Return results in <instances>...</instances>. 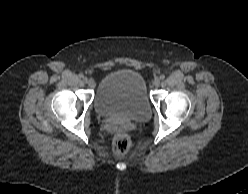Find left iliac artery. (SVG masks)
Segmentation results:
<instances>
[{
  "label": "left iliac artery",
  "instance_id": "1",
  "mask_svg": "<svg viewBox=\"0 0 248 194\" xmlns=\"http://www.w3.org/2000/svg\"><path fill=\"white\" fill-rule=\"evenodd\" d=\"M160 79H162V80L165 79V75H161Z\"/></svg>",
  "mask_w": 248,
  "mask_h": 194
}]
</instances>
